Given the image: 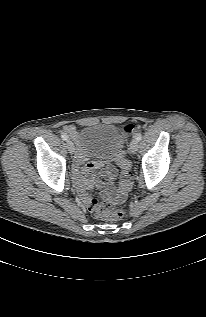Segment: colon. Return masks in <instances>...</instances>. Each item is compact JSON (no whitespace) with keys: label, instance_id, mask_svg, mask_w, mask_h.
I'll return each mask as SVG.
<instances>
[{"label":"colon","instance_id":"obj_1","mask_svg":"<svg viewBox=\"0 0 206 317\" xmlns=\"http://www.w3.org/2000/svg\"><path fill=\"white\" fill-rule=\"evenodd\" d=\"M134 130L133 125H127L124 128L125 132L131 133ZM120 166L123 172H130L129 163L127 160L122 158L120 160ZM90 212L93 214L94 217L115 221L123 217L124 212L121 209H115L113 204L109 201H96L93 200L91 205L89 206Z\"/></svg>","mask_w":206,"mask_h":317}]
</instances>
